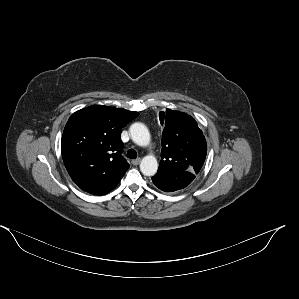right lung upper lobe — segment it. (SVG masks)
<instances>
[{
  "label": "right lung upper lobe",
  "mask_w": 299,
  "mask_h": 299,
  "mask_svg": "<svg viewBox=\"0 0 299 299\" xmlns=\"http://www.w3.org/2000/svg\"><path fill=\"white\" fill-rule=\"evenodd\" d=\"M138 115L102 105L71 115L63 131L61 153L70 177L82 190L104 195L120 182L129 168L121 155V130Z\"/></svg>",
  "instance_id": "right-lung-upper-lobe-1"
}]
</instances>
